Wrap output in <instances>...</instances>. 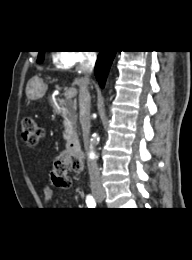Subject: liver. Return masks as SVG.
<instances>
[{
    "label": "liver",
    "instance_id": "1",
    "mask_svg": "<svg viewBox=\"0 0 192 260\" xmlns=\"http://www.w3.org/2000/svg\"><path fill=\"white\" fill-rule=\"evenodd\" d=\"M74 84L79 85V79H76ZM28 89V88H27ZM27 89H26V95H27Z\"/></svg>",
    "mask_w": 192,
    "mask_h": 260
}]
</instances>
